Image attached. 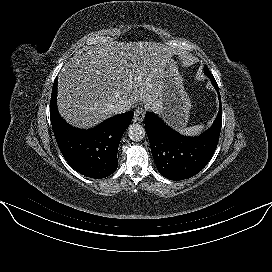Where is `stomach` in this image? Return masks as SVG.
Returning <instances> with one entry per match:
<instances>
[{"instance_id": "obj_1", "label": "stomach", "mask_w": 272, "mask_h": 272, "mask_svg": "<svg viewBox=\"0 0 272 272\" xmlns=\"http://www.w3.org/2000/svg\"><path fill=\"white\" fill-rule=\"evenodd\" d=\"M162 80L160 106L155 111L173 128L180 130L187 125L191 101L184 89L178 68L172 59L164 67Z\"/></svg>"}]
</instances>
